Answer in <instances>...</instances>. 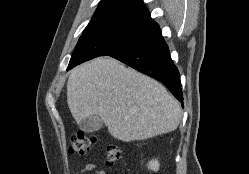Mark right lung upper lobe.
Here are the masks:
<instances>
[{
  "mask_svg": "<svg viewBox=\"0 0 249 174\" xmlns=\"http://www.w3.org/2000/svg\"><path fill=\"white\" fill-rule=\"evenodd\" d=\"M132 24L152 28V21L142 0H101L85 30H101L115 25Z\"/></svg>",
  "mask_w": 249,
  "mask_h": 174,
  "instance_id": "right-lung-upper-lobe-1",
  "label": "right lung upper lobe"
}]
</instances>
